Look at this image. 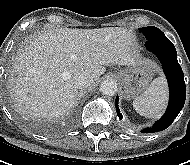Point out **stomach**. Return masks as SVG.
Here are the masks:
<instances>
[{
  "mask_svg": "<svg viewBox=\"0 0 190 165\" xmlns=\"http://www.w3.org/2000/svg\"><path fill=\"white\" fill-rule=\"evenodd\" d=\"M156 71V66L148 61L120 70L118 76L126 98L133 99L143 94L148 89Z\"/></svg>",
  "mask_w": 190,
  "mask_h": 165,
  "instance_id": "0dacf381",
  "label": "stomach"
}]
</instances>
